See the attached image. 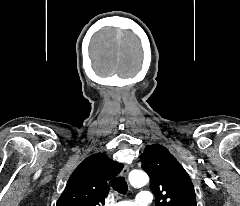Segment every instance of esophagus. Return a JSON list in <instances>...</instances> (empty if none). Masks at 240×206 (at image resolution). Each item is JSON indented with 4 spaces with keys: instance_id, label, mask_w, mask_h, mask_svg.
I'll use <instances>...</instances> for the list:
<instances>
[{
    "instance_id": "obj_1",
    "label": "esophagus",
    "mask_w": 240,
    "mask_h": 206,
    "mask_svg": "<svg viewBox=\"0 0 240 206\" xmlns=\"http://www.w3.org/2000/svg\"><path fill=\"white\" fill-rule=\"evenodd\" d=\"M128 173H129V166L125 165L121 174L123 177H127Z\"/></svg>"
}]
</instances>
